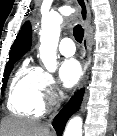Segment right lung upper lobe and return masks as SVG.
Listing matches in <instances>:
<instances>
[{
  "instance_id": "1",
  "label": "right lung upper lobe",
  "mask_w": 117,
  "mask_h": 136,
  "mask_svg": "<svg viewBox=\"0 0 117 136\" xmlns=\"http://www.w3.org/2000/svg\"><path fill=\"white\" fill-rule=\"evenodd\" d=\"M31 41V26L29 22H26L16 37L9 55V60L20 59L30 49Z\"/></svg>"
}]
</instances>
